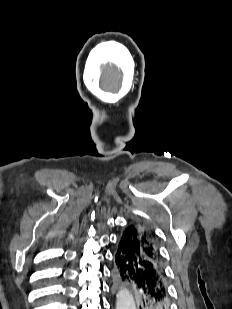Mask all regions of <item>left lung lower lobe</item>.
<instances>
[{"instance_id": "1", "label": "left lung lower lobe", "mask_w": 232, "mask_h": 309, "mask_svg": "<svg viewBox=\"0 0 232 309\" xmlns=\"http://www.w3.org/2000/svg\"><path fill=\"white\" fill-rule=\"evenodd\" d=\"M113 274L119 283L133 288L139 309H169L164 269L145 255L130 224L115 248Z\"/></svg>"}]
</instances>
